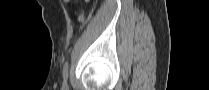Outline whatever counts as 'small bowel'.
<instances>
[{
  "label": "small bowel",
  "instance_id": "c3829d8e",
  "mask_svg": "<svg viewBox=\"0 0 209 90\" xmlns=\"http://www.w3.org/2000/svg\"><path fill=\"white\" fill-rule=\"evenodd\" d=\"M75 16H76V19L79 21V22H82L84 21V15L79 13V12H75Z\"/></svg>",
  "mask_w": 209,
  "mask_h": 90
}]
</instances>
